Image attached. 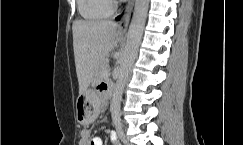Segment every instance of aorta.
Here are the masks:
<instances>
[{"mask_svg": "<svg viewBox=\"0 0 243 145\" xmlns=\"http://www.w3.org/2000/svg\"><path fill=\"white\" fill-rule=\"evenodd\" d=\"M149 0H136L131 24L129 26L127 41L116 84L114 87L113 97L110 105L112 119L119 121L121 99L127 82L130 69L137 56L139 45L142 39L143 30L146 22Z\"/></svg>", "mask_w": 243, "mask_h": 145, "instance_id": "obj_1", "label": "aorta"}]
</instances>
